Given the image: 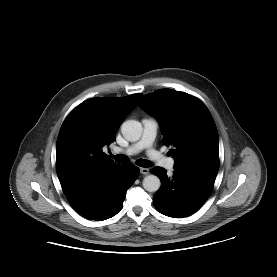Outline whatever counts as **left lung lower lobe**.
I'll return each mask as SVG.
<instances>
[{"instance_id":"1","label":"left lung lower lobe","mask_w":277,"mask_h":277,"mask_svg":"<svg viewBox=\"0 0 277 277\" xmlns=\"http://www.w3.org/2000/svg\"><path fill=\"white\" fill-rule=\"evenodd\" d=\"M151 173L161 180V187L153 197L155 208L162 214L180 218L193 214L201 208L209 197L217 172L200 170H174L168 177L167 171L160 167Z\"/></svg>"}]
</instances>
